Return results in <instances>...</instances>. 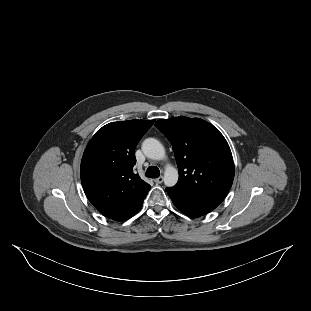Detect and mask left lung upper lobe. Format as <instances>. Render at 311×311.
I'll use <instances>...</instances> for the list:
<instances>
[{"mask_svg":"<svg viewBox=\"0 0 311 311\" xmlns=\"http://www.w3.org/2000/svg\"><path fill=\"white\" fill-rule=\"evenodd\" d=\"M155 126L170 141L175 153L179 180L172 188L222 202L234 179V162L223 135L199 118L160 119Z\"/></svg>","mask_w":311,"mask_h":311,"instance_id":"obj_1","label":"left lung upper lobe"}]
</instances>
